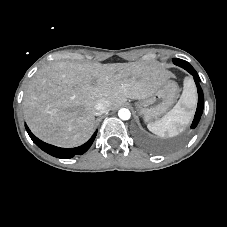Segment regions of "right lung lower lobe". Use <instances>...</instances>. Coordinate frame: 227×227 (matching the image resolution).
Returning a JSON list of instances; mask_svg holds the SVG:
<instances>
[{"label":"right lung lower lobe","mask_w":227,"mask_h":227,"mask_svg":"<svg viewBox=\"0 0 227 227\" xmlns=\"http://www.w3.org/2000/svg\"><path fill=\"white\" fill-rule=\"evenodd\" d=\"M25 127H26V130H27L30 138L39 148H41L43 151H45L46 153H48L54 157L64 158V159L71 158L77 154L82 155L83 153H85L92 145V143L96 137V134H97V131H96L88 142H86L85 144H83L79 147L60 148V147H56V146H53V145H50V144H47V143L41 141L40 139H38L37 137H35L32 134V132L30 131V129L28 128L27 125Z\"/></svg>","instance_id":"1"}]
</instances>
